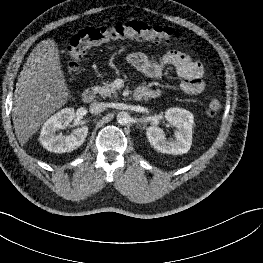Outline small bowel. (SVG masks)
<instances>
[{
	"mask_svg": "<svg viewBox=\"0 0 263 263\" xmlns=\"http://www.w3.org/2000/svg\"><path fill=\"white\" fill-rule=\"evenodd\" d=\"M126 59L132 67L148 78H159L166 67L172 66L182 79L181 89L184 93L198 95L204 91L202 64L181 48L170 49L159 60H154L141 52H132ZM141 88L148 90L152 98L159 95L158 91Z\"/></svg>",
	"mask_w": 263,
	"mask_h": 263,
	"instance_id": "small-bowel-1",
	"label": "small bowel"
}]
</instances>
